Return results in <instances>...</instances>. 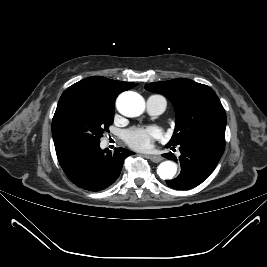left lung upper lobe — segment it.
Instances as JSON below:
<instances>
[{
	"label": "left lung upper lobe",
	"instance_id": "5c2ea615",
	"mask_svg": "<svg viewBox=\"0 0 267 267\" xmlns=\"http://www.w3.org/2000/svg\"><path fill=\"white\" fill-rule=\"evenodd\" d=\"M145 89L163 94L175 108V131L166 146L199 139L225 142L226 114L218 96L207 85L178 78L150 83Z\"/></svg>",
	"mask_w": 267,
	"mask_h": 267
}]
</instances>
